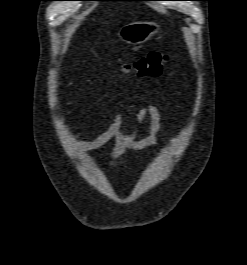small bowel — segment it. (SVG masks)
<instances>
[{"instance_id":"small-bowel-1","label":"small bowel","mask_w":247,"mask_h":265,"mask_svg":"<svg viewBox=\"0 0 247 265\" xmlns=\"http://www.w3.org/2000/svg\"><path fill=\"white\" fill-rule=\"evenodd\" d=\"M146 119L149 120L148 134L143 138H138L139 127ZM160 126V109L154 104H149L137 111L135 123L129 131H123L122 114L118 113L104 132L90 141L78 142L76 147L83 151L93 150L114 139L115 146L109 161L111 165H115L129 151H138L154 146L157 142Z\"/></svg>"}]
</instances>
